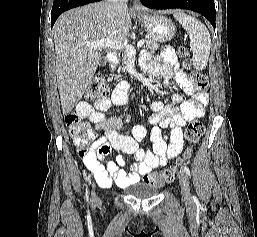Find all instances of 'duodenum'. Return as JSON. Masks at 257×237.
I'll return each instance as SVG.
<instances>
[{"mask_svg": "<svg viewBox=\"0 0 257 237\" xmlns=\"http://www.w3.org/2000/svg\"><path fill=\"white\" fill-rule=\"evenodd\" d=\"M108 60H109L110 65L114 66L118 61L117 55L113 52L109 53Z\"/></svg>", "mask_w": 257, "mask_h": 237, "instance_id": "obj_1", "label": "duodenum"}]
</instances>
